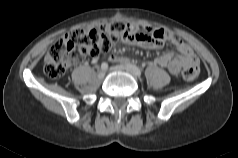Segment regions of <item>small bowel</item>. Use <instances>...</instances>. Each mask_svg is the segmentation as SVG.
<instances>
[{"label": "small bowel", "mask_w": 238, "mask_h": 158, "mask_svg": "<svg viewBox=\"0 0 238 158\" xmlns=\"http://www.w3.org/2000/svg\"><path fill=\"white\" fill-rule=\"evenodd\" d=\"M133 27V36L125 42L145 49H159L165 43L172 44L178 53L166 52L155 59V63L168 68L173 74H177L182 68L198 66L199 60L191 47L181 38L161 28L146 27L143 30L136 25ZM111 61L125 62L126 58L112 55Z\"/></svg>", "instance_id": "small-bowel-1"}]
</instances>
